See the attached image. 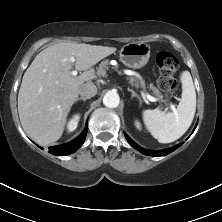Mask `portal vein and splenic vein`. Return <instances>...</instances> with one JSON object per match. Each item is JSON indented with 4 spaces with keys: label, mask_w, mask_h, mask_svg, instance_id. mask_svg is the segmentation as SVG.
<instances>
[{
    "label": "portal vein and splenic vein",
    "mask_w": 222,
    "mask_h": 222,
    "mask_svg": "<svg viewBox=\"0 0 222 222\" xmlns=\"http://www.w3.org/2000/svg\"><path fill=\"white\" fill-rule=\"evenodd\" d=\"M70 61L71 62H75V58H73V57H71L70 58ZM78 74V72L76 71V70H73L72 72H71V75L72 76H76ZM146 97H147V99L149 100V101H151V102H156L158 99L157 98H155V97H153V96H151V95H149V94H146ZM171 109L173 110V111H175L176 110V108L172 105L171 106Z\"/></svg>",
    "instance_id": "18ae733b"
}]
</instances>
